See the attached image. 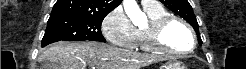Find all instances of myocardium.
<instances>
[{
	"instance_id": "1",
	"label": "myocardium",
	"mask_w": 246,
	"mask_h": 69,
	"mask_svg": "<svg viewBox=\"0 0 246 69\" xmlns=\"http://www.w3.org/2000/svg\"><path fill=\"white\" fill-rule=\"evenodd\" d=\"M173 22L181 23L189 32L191 41L193 42V47L190 50L187 51L176 50L175 48H172L164 41L163 39L164 33L168 28V26ZM143 34L146 42L150 46L169 54H174V55L188 54L191 53L195 47L196 39L192 27L184 19L175 15L170 14L154 22L148 23L143 30Z\"/></svg>"
}]
</instances>
